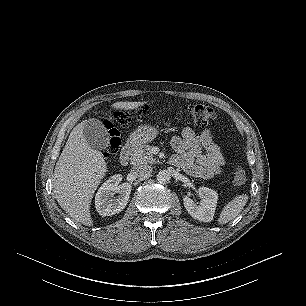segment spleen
Masks as SVG:
<instances>
[{
    "label": "spleen",
    "mask_w": 306,
    "mask_h": 306,
    "mask_svg": "<svg viewBox=\"0 0 306 306\" xmlns=\"http://www.w3.org/2000/svg\"><path fill=\"white\" fill-rule=\"evenodd\" d=\"M248 201L247 195H237L222 209L218 218L219 224H225L237 217Z\"/></svg>",
    "instance_id": "3e777b00"
}]
</instances>
